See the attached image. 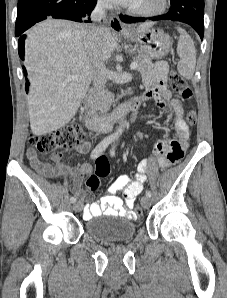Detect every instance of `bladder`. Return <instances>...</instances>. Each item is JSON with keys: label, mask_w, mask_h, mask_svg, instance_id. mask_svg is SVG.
<instances>
[{"label": "bladder", "mask_w": 227, "mask_h": 298, "mask_svg": "<svg viewBox=\"0 0 227 298\" xmlns=\"http://www.w3.org/2000/svg\"><path fill=\"white\" fill-rule=\"evenodd\" d=\"M86 233L102 244H113L131 240L137 231L134 221L123 218L115 220L91 219L86 222Z\"/></svg>", "instance_id": "obj_1"}]
</instances>
